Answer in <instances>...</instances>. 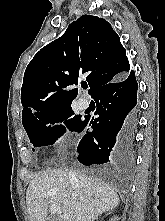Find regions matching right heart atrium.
<instances>
[{
	"mask_svg": "<svg viewBox=\"0 0 165 221\" xmlns=\"http://www.w3.org/2000/svg\"><path fill=\"white\" fill-rule=\"evenodd\" d=\"M56 127L58 128V133L55 139V144L58 149H62L70 138V131L62 121L58 122Z\"/></svg>",
	"mask_w": 165,
	"mask_h": 221,
	"instance_id": "d8ad5b80",
	"label": "right heart atrium"
}]
</instances>
